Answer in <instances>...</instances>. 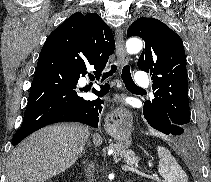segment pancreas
Segmentation results:
<instances>
[{"instance_id":"cf45deb5","label":"pancreas","mask_w":211,"mask_h":182,"mask_svg":"<svg viewBox=\"0 0 211 182\" xmlns=\"http://www.w3.org/2000/svg\"><path fill=\"white\" fill-rule=\"evenodd\" d=\"M110 149H113V159L115 162L120 161L123 159L127 165L133 166L134 164L137 165L139 162L138 157L135 154L127 149L125 146L122 145H112Z\"/></svg>"}]
</instances>
